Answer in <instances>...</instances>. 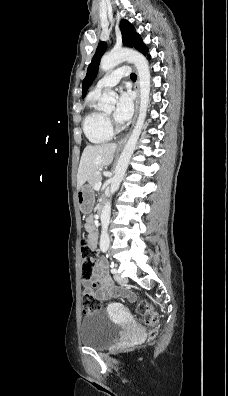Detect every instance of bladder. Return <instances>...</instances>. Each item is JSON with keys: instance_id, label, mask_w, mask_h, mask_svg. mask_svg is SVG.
<instances>
[{"instance_id": "1", "label": "bladder", "mask_w": 228, "mask_h": 396, "mask_svg": "<svg viewBox=\"0 0 228 396\" xmlns=\"http://www.w3.org/2000/svg\"><path fill=\"white\" fill-rule=\"evenodd\" d=\"M121 329L104 310L86 314L80 325V343L96 350H105L120 338Z\"/></svg>"}]
</instances>
